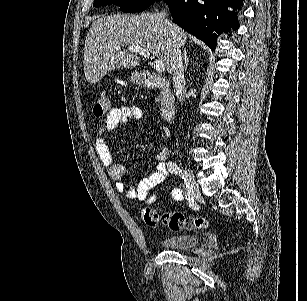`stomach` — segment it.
Returning a JSON list of instances; mask_svg holds the SVG:
<instances>
[{"instance_id":"0dacf381","label":"stomach","mask_w":307,"mask_h":301,"mask_svg":"<svg viewBox=\"0 0 307 301\" xmlns=\"http://www.w3.org/2000/svg\"><path fill=\"white\" fill-rule=\"evenodd\" d=\"M130 80L134 82V84H142L143 78L141 72H132Z\"/></svg>"}]
</instances>
